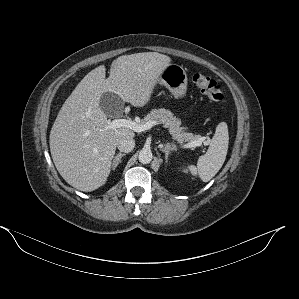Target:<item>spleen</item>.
I'll list each match as a JSON object with an SVG mask.
<instances>
[{
    "label": "spleen",
    "mask_w": 299,
    "mask_h": 299,
    "mask_svg": "<svg viewBox=\"0 0 299 299\" xmlns=\"http://www.w3.org/2000/svg\"><path fill=\"white\" fill-rule=\"evenodd\" d=\"M228 144V127L225 122H221L216 127L206 154L198 159L197 166H189L190 172L193 175L198 174L203 182L210 181L221 169L226 159Z\"/></svg>",
    "instance_id": "3e777b00"
}]
</instances>
